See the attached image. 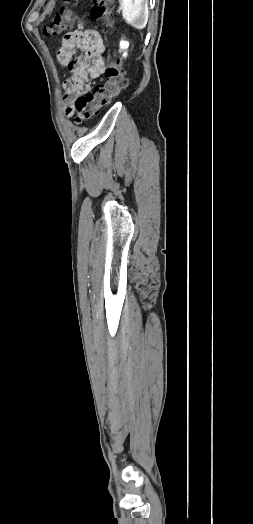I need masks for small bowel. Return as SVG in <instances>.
I'll list each match as a JSON object with an SVG mask.
<instances>
[{
	"label": "small bowel",
	"mask_w": 253,
	"mask_h": 524,
	"mask_svg": "<svg viewBox=\"0 0 253 524\" xmlns=\"http://www.w3.org/2000/svg\"><path fill=\"white\" fill-rule=\"evenodd\" d=\"M57 58L67 66L71 76L65 82V98L73 102L84 96L90 89V82L100 79L103 72L104 44L100 33L96 29H77L72 27L68 34L61 38ZM81 55L75 57L76 49Z\"/></svg>",
	"instance_id": "c3829d8e"
}]
</instances>
